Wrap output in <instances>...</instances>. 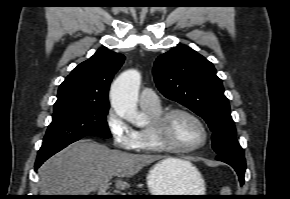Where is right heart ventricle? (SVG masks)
Wrapping results in <instances>:
<instances>
[{"label":"right heart ventricle","mask_w":290,"mask_h":199,"mask_svg":"<svg viewBox=\"0 0 290 199\" xmlns=\"http://www.w3.org/2000/svg\"><path fill=\"white\" fill-rule=\"evenodd\" d=\"M148 116L153 120L160 116L163 111L160 108L158 109H150V108H142ZM134 150L139 153H161L163 150H161L159 147L156 146L154 143L151 132H150V125L144 128H140L136 130V145Z\"/></svg>","instance_id":"e07e8e85"}]
</instances>
